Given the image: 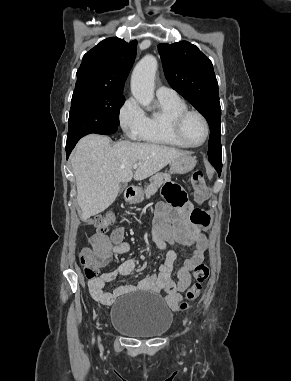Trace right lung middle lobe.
I'll list each match as a JSON object with an SVG mask.
<instances>
[{"mask_svg": "<svg viewBox=\"0 0 291 381\" xmlns=\"http://www.w3.org/2000/svg\"><path fill=\"white\" fill-rule=\"evenodd\" d=\"M124 103L122 92L107 89H75L69 113L67 142L83 136L117 129L119 112Z\"/></svg>", "mask_w": 291, "mask_h": 381, "instance_id": "obj_1", "label": "right lung middle lobe"}]
</instances>
